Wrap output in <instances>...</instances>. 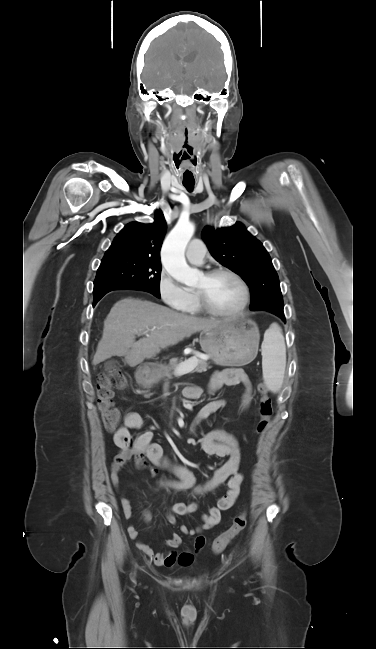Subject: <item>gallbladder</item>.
<instances>
[{"mask_svg": "<svg viewBox=\"0 0 376 649\" xmlns=\"http://www.w3.org/2000/svg\"><path fill=\"white\" fill-rule=\"evenodd\" d=\"M105 368H106V370L111 372L112 370H114L116 368V363L114 361H108L105 364Z\"/></svg>", "mask_w": 376, "mask_h": 649, "instance_id": "gallbladder-1", "label": "gallbladder"}]
</instances>
